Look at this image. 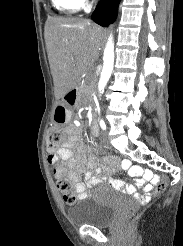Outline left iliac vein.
I'll return each mask as SVG.
<instances>
[{
  "instance_id": "left-iliac-vein-1",
  "label": "left iliac vein",
  "mask_w": 183,
  "mask_h": 246,
  "mask_svg": "<svg viewBox=\"0 0 183 246\" xmlns=\"http://www.w3.org/2000/svg\"><path fill=\"white\" fill-rule=\"evenodd\" d=\"M102 141L107 147H110L109 135L107 132L102 134Z\"/></svg>"
}]
</instances>
